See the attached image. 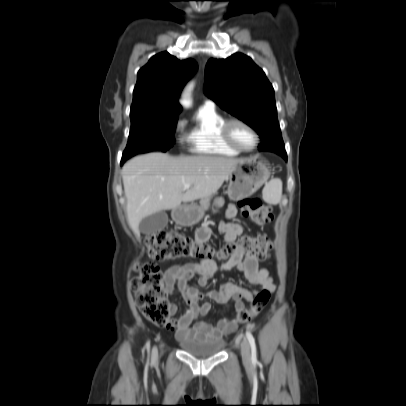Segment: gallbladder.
<instances>
[{
    "label": "gallbladder",
    "mask_w": 406,
    "mask_h": 406,
    "mask_svg": "<svg viewBox=\"0 0 406 406\" xmlns=\"http://www.w3.org/2000/svg\"><path fill=\"white\" fill-rule=\"evenodd\" d=\"M168 223L165 211H159L145 217L139 224V231L144 234H154L162 231Z\"/></svg>",
    "instance_id": "1"
}]
</instances>
